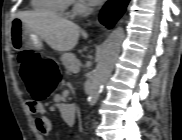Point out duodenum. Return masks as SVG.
<instances>
[{
    "instance_id": "obj_1",
    "label": "duodenum",
    "mask_w": 182,
    "mask_h": 140,
    "mask_svg": "<svg viewBox=\"0 0 182 140\" xmlns=\"http://www.w3.org/2000/svg\"><path fill=\"white\" fill-rule=\"evenodd\" d=\"M60 112L70 122H74L76 114H77V107L73 104L71 105H61Z\"/></svg>"
}]
</instances>
